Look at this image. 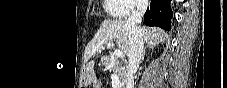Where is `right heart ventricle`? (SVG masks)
Segmentation results:
<instances>
[{
	"label": "right heart ventricle",
	"mask_w": 227,
	"mask_h": 88,
	"mask_svg": "<svg viewBox=\"0 0 227 88\" xmlns=\"http://www.w3.org/2000/svg\"><path fill=\"white\" fill-rule=\"evenodd\" d=\"M104 9L114 19L126 17L127 4L124 0H104Z\"/></svg>",
	"instance_id": "e07e8e85"
}]
</instances>
